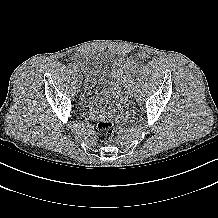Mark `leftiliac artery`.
<instances>
[{
	"mask_svg": "<svg viewBox=\"0 0 218 218\" xmlns=\"http://www.w3.org/2000/svg\"><path fill=\"white\" fill-rule=\"evenodd\" d=\"M132 80H130V82L128 83V87H127V90H133V85H135V77L133 76L132 78H131Z\"/></svg>",
	"mask_w": 218,
	"mask_h": 218,
	"instance_id": "left-iliac-artery-1",
	"label": "left iliac artery"
}]
</instances>
